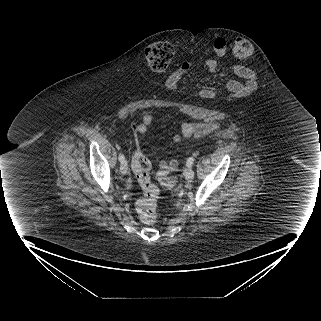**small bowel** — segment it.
I'll return each mask as SVG.
<instances>
[{
  "instance_id": "obj_1",
  "label": "small bowel",
  "mask_w": 321,
  "mask_h": 321,
  "mask_svg": "<svg viewBox=\"0 0 321 321\" xmlns=\"http://www.w3.org/2000/svg\"><path fill=\"white\" fill-rule=\"evenodd\" d=\"M226 42L224 39L218 38L213 43V50L218 58H222L226 54ZM204 66L215 71L217 68L216 60H207ZM194 65L191 62L183 63L177 70L171 73L167 78V84L169 86H176L180 80L186 76L193 69ZM231 71L236 75H240L243 79L248 81H240L239 79H234L231 83L226 85V92L231 96L244 97L249 92H253L259 87L260 73L256 70H252L248 65L241 64L240 62H233L231 64ZM195 88L191 87L189 94L193 98H202L203 96L213 97L214 92L202 91L201 93H194ZM153 123V116L151 113H146L139 126L137 127V132L140 135H145L151 124ZM219 128L216 123H183L181 125L180 131L172 136V141L176 144L184 142L186 139L191 137H204L207 136ZM158 160V175H167L175 171L178 167L177 160L173 159L170 161L164 160L161 155H157Z\"/></svg>"
}]
</instances>
